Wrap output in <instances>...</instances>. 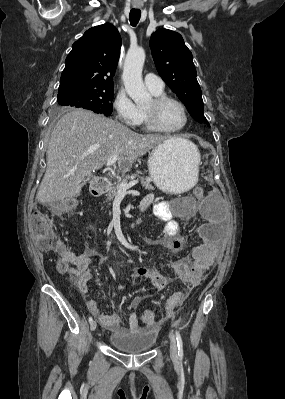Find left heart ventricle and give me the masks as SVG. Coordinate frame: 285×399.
Returning <instances> with one entry per match:
<instances>
[{
    "label": "left heart ventricle",
    "instance_id": "left-heart-ventricle-1",
    "mask_svg": "<svg viewBox=\"0 0 285 399\" xmlns=\"http://www.w3.org/2000/svg\"><path fill=\"white\" fill-rule=\"evenodd\" d=\"M152 101L145 107L150 108ZM160 122L164 127L176 128L183 124L184 115L181 108L174 102L165 103L159 110Z\"/></svg>",
    "mask_w": 285,
    "mask_h": 399
}]
</instances>
